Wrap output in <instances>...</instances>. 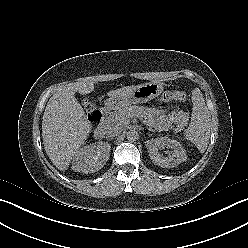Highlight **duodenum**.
Segmentation results:
<instances>
[{"label": "duodenum", "mask_w": 248, "mask_h": 248, "mask_svg": "<svg viewBox=\"0 0 248 248\" xmlns=\"http://www.w3.org/2000/svg\"><path fill=\"white\" fill-rule=\"evenodd\" d=\"M109 112L108 107H103L102 110L98 112V115L94 117V136L96 138H101L106 129V115Z\"/></svg>", "instance_id": "obj_1"}]
</instances>
